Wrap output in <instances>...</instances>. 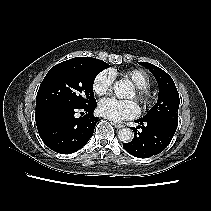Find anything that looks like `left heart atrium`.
<instances>
[{
    "label": "left heart atrium",
    "mask_w": 211,
    "mask_h": 211,
    "mask_svg": "<svg viewBox=\"0 0 211 211\" xmlns=\"http://www.w3.org/2000/svg\"><path fill=\"white\" fill-rule=\"evenodd\" d=\"M99 112L108 119L121 121L137 116L139 114V107L132 100L108 98L99 103Z\"/></svg>",
    "instance_id": "left-heart-atrium-1"
}]
</instances>
